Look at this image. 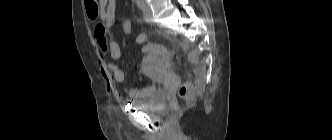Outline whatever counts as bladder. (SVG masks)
<instances>
[{
	"label": "bladder",
	"mask_w": 332,
	"mask_h": 140,
	"mask_svg": "<svg viewBox=\"0 0 332 140\" xmlns=\"http://www.w3.org/2000/svg\"><path fill=\"white\" fill-rule=\"evenodd\" d=\"M146 88L148 92L141 97L132 99L131 104L140 109H156L165 101V95L156 84H151Z\"/></svg>",
	"instance_id": "obj_1"
}]
</instances>
